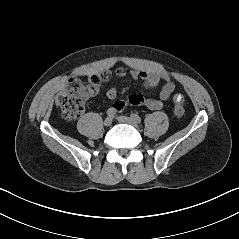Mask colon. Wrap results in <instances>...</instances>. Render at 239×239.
<instances>
[{
    "label": "colon",
    "instance_id": "1",
    "mask_svg": "<svg viewBox=\"0 0 239 239\" xmlns=\"http://www.w3.org/2000/svg\"><path fill=\"white\" fill-rule=\"evenodd\" d=\"M91 89L92 84H86L77 78H71L67 82L65 89L56 100V105L64 120L74 121L81 115L84 102L90 95ZM173 112L176 118H181L184 115V97L181 94L175 96Z\"/></svg>",
    "mask_w": 239,
    "mask_h": 239
}]
</instances>
